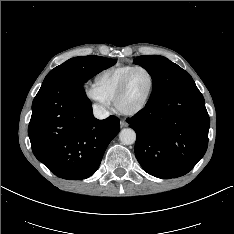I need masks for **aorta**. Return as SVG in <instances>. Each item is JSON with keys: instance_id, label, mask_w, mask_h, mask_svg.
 <instances>
[{"instance_id": "762f6f07", "label": "aorta", "mask_w": 234, "mask_h": 234, "mask_svg": "<svg viewBox=\"0 0 234 234\" xmlns=\"http://www.w3.org/2000/svg\"><path fill=\"white\" fill-rule=\"evenodd\" d=\"M119 139L124 145H131L136 141V133L131 128H124L119 133Z\"/></svg>"}]
</instances>
